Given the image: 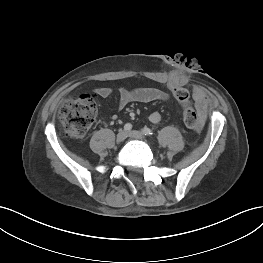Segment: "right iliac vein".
Returning a JSON list of instances; mask_svg holds the SVG:
<instances>
[{"mask_svg": "<svg viewBox=\"0 0 263 263\" xmlns=\"http://www.w3.org/2000/svg\"><path fill=\"white\" fill-rule=\"evenodd\" d=\"M127 137V132L125 130H120L117 134L116 141L118 143L123 142Z\"/></svg>", "mask_w": 263, "mask_h": 263, "instance_id": "right-iliac-vein-1", "label": "right iliac vein"}]
</instances>
